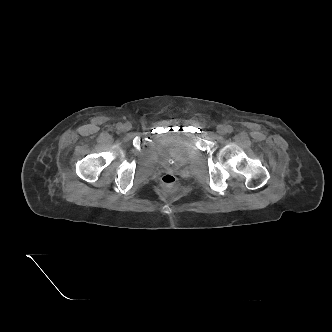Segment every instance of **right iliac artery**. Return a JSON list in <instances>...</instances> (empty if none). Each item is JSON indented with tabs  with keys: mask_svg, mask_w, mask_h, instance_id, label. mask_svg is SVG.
I'll return each mask as SVG.
<instances>
[{
	"mask_svg": "<svg viewBox=\"0 0 332 332\" xmlns=\"http://www.w3.org/2000/svg\"><path fill=\"white\" fill-rule=\"evenodd\" d=\"M116 127H117V129L120 130V129H122V124H121V123H118Z\"/></svg>",
	"mask_w": 332,
	"mask_h": 332,
	"instance_id": "obj_1",
	"label": "right iliac artery"
}]
</instances>
